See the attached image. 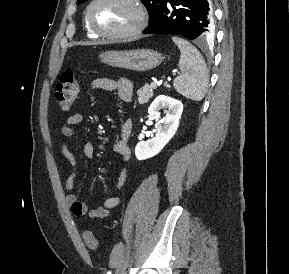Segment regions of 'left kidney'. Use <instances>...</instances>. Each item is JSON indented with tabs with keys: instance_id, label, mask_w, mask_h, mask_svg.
<instances>
[{
	"instance_id": "left-kidney-1",
	"label": "left kidney",
	"mask_w": 289,
	"mask_h": 274,
	"mask_svg": "<svg viewBox=\"0 0 289 274\" xmlns=\"http://www.w3.org/2000/svg\"><path fill=\"white\" fill-rule=\"evenodd\" d=\"M164 109L166 117L160 120V110ZM183 112V104L174 98L160 95L151 103L148 114L158 127L154 138L140 141L135 147L138 160H145L157 155L175 135Z\"/></svg>"
}]
</instances>
